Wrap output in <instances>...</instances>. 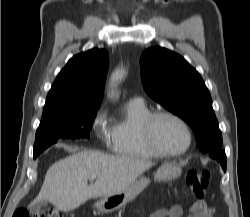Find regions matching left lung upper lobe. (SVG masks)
<instances>
[{
    "instance_id": "left-lung-upper-lobe-1",
    "label": "left lung upper lobe",
    "mask_w": 250,
    "mask_h": 217,
    "mask_svg": "<svg viewBox=\"0 0 250 217\" xmlns=\"http://www.w3.org/2000/svg\"><path fill=\"white\" fill-rule=\"evenodd\" d=\"M140 65L147 94L191 126L197 148L204 153L220 151L221 131L200 74L183 57L161 47L145 50Z\"/></svg>"
}]
</instances>
